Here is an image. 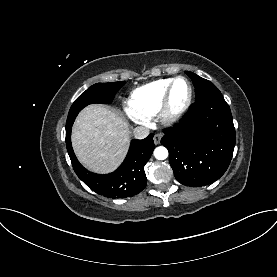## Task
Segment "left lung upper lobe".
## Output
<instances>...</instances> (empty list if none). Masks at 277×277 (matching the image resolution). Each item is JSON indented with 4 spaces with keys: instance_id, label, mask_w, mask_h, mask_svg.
Here are the masks:
<instances>
[{
    "instance_id": "left-lung-upper-lobe-1",
    "label": "left lung upper lobe",
    "mask_w": 277,
    "mask_h": 277,
    "mask_svg": "<svg viewBox=\"0 0 277 277\" xmlns=\"http://www.w3.org/2000/svg\"><path fill=\"white\" fill-rule=\"evenodd\" d=\"M185 73L192 79L194 87H195V102H198L206 97L212 96V95H220L221 92L218 90V88L210 81L201 78L200 76L185 71Z\"/></svg>"
}]
</instances>
